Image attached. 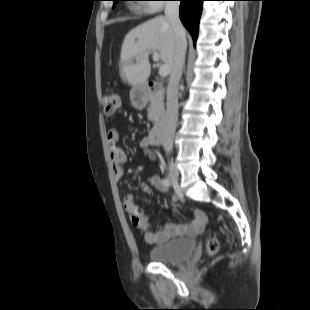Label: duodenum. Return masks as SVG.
Here are the masks:
<instances>
[{"label": "duodenum", "instance_id": "duodenum-1", "mask_svg": "<svg viewBox=\"0 0 310 310\" xmlns=\"http://www.w3.org/2000/svg\"><path fill=\"white\" fill-rule=\"evenodd\" d=\"M145 93L150 97H161L165 93V88L159 82L149 80L145 84ZM165 126L166 120L162 117L150 131L149 138L152 145L158 146L162 143Z\"/></svg>", "mask_w": 310, "mask_h": 310}]
</instances>
